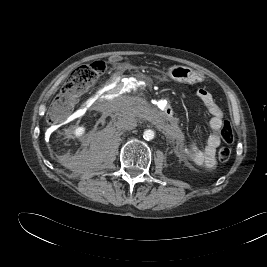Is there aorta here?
Listing matches in <instances>:
<instances>
[{
	"mask_svg": "<svg viewBox=\"0 0 267 267\" xmlns=\"http://www.w3.org/2000/svg\"><path fill=\"white\" fill-rule=\"evenodd\" d=\"M154 136H155V133L153 130L147 129L144 131L143 137L145 140H148V141L152 140L154 138Z\"/></svg>",
	"mask_w": 267,
	"mask_h": 267,
	"instance_id": "obj_1",
	"label": "aorta"
}]
</instances>
